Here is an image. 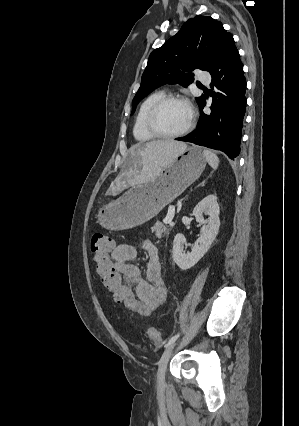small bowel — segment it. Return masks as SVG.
<instances>
[{
	"mask_svg": "<svg viewBox=\"0 0 299 426\" xmlns=\"http://www.w3.org/2000/svg\"><path fill=\"white\" fill-rule=\"evenodd\" d=\"M144 249L148 253L145 277L140 268L133 263L137 250L133 245L120 244L114 247L111 257L114 268L119 273L123 285V304L131 311L149 316L158 307L165 304L168 289L162 275L156 245L147 240Z\"/></svg>",
	"mask_w": 299,
	"mask_h": 426,
	"instance_id": "1",
	"label": "small bowel"
}]
</instances>
